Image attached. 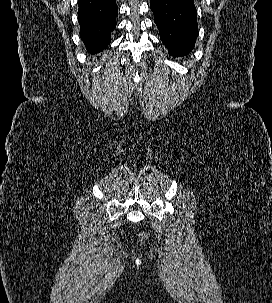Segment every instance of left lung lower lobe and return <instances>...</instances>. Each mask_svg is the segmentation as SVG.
<instances>
[{
	"instance_id": "1",
	"label": "left lung lower lobe",
	"mask_w": 272,
	"mask_h": 303,
	"mask_svg": "<svg viewBox=\"0 0 272 303\" xmlns=\"http://www.w3.org/2000/svg\"><path fill=\"white\" fill-rule=\"evenodd\" d=\"M150 7L160 39L169 55L181 57L194 48L198 36L197 11L193 0H151Z\"/></svg>"
}]
</instances>
